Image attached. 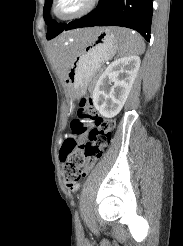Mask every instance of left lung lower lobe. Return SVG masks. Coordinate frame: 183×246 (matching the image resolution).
<instances>
[{"mask_svg":"<svg viewBox=\"0 0 183 246\" xmlns=\"http://www.w3.org/2000/svg\"><path fill=\"white\" fill-rule=\"evenodd\" d=\"M152 0H99L88 15L67 24L63 31L93 26H120L139 32L150 41Z\"/></svg>","mask_w":183,"mask_h":246,"instance_id":"1","label":"left lung lower lobe"}]
</instances>
